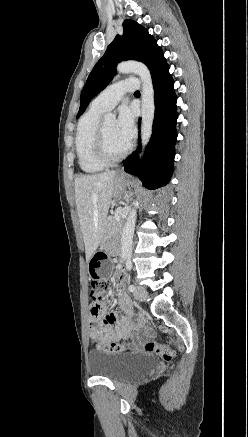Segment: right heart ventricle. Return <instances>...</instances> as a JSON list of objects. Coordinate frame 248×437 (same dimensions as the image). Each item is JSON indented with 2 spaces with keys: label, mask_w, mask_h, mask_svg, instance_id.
Instances as JSON below:
<instances>
[{
  "label": "right heart ventricle",
  "mask_w": 248,
  "mask_h": 437,
  "mask_svg": "<svg viewBox=\"0 0 248 437\" xmlns=\"http://www.w3.org/2000/svg\"><path fill=\"white\" fill-rule=\"evenodd\" d=\"M105 111L91 106L80 118L75 137V149L80 169L88 174L101 172L105 165L95 155L96 132Z\"/></svg>",
  "instance_id": "e07e8e85"
}]
</instances>
